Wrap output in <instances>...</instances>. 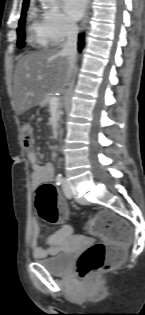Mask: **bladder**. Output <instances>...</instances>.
Returning <instances> with one entry per match:
<instances>
[{"instance_id": "obj_1", "label": "bladder", "mask_w": 145, "mask_h": 315, "mask_svg": "<svg viewBox=\"0 0 145 315\" xmlns=\"http://www.w3.org/2000/svg\"><path fill=\"white\" fill-rule=\"evenodd\" d=\"M82 249V248H71ZM74 256H65V250L56 254L55 256L42 259L39 262L41 265L53 275H63L71 268L73 264Z\"/></svg>"}]
</instances>
